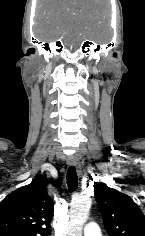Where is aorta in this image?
Returning <instances> with one entry per match:
<instances>
[{"instance_id": "762f6f07", "label": "aorta", "mask_w": 145, "mask_h": 236, "mask_svg": "<svg viewBox=\"0 0 145 236\" xmlns=\"http://www.w3.org/2000/svg\"><path fill=\"white\" fill-rule=\"evenodd\" d=\"M91 199L80 197L74 200L70 209L69 236H82L83 225L86 222L90 207Z\"/></svg>"}]
</instances>
